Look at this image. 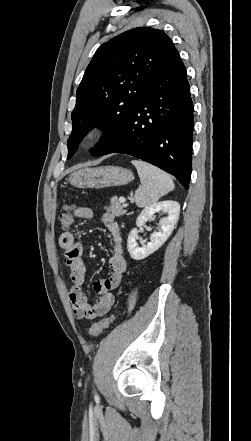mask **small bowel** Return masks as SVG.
<instances>
[{
	"label": "small bowel",
	"mask_w": 251,
	"mask_h": 441,
	"mask_svg": "<svg viewBox=\"0 0 251 441\" xmlns=\"http://www.w3.org/2000/svg\"><path fill=\"white\" fill-rule=\"evenodd\" d=\"M75 216L81 219H92L93 210L79 207ZM102 223L108 229L112 239V253L109 258L110 273L107 277L94 282L93 289L98 298L91 303L83 292L85 283V267L82 259L83 245L72 232L60 235L59 245L64 251V263L70 270L68 296L76 318L92 319L106 315L115 303L114 291L120 286L127 263L122 247L121 229L111 213L102 216Z\"/></svg>",
	"instance_id": "c3829d8e"
}]
</instances>
